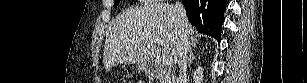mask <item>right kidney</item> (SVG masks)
<instances>
[{"instance_id":"ca27d5eb","label":"right kidney","mask_w":307,"mask_h":83,"mask_svg":"<svg viewBox=\"0 0 307 83\" xmlns=\"http://www.w3.org/2000/svg\"><path fill=\"white\" fill-rule=\"evenodd\" d=\"M203 80V68L199 66L193 74L194 83H201Z\"/></svg>"}]
</instances>
